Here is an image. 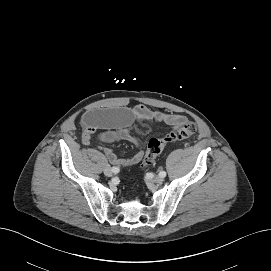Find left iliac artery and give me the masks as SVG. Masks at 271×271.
Returning <instances> with one entry per match:
<instances>
[{"label":"left iliac artery","mask_w":271,"mask_h":271,"mask_svg":"<svg viewBox=\"0 0 271 271\" xmlns=\"http://www.w3.org/2000/svg\"><path fill=\"white\" fill-rule=\"evenodd\" d=\"M159 175L164 178L166 176V172L165 171H160Z\"/></svg>","instance_id":"1"}]
</instances>
